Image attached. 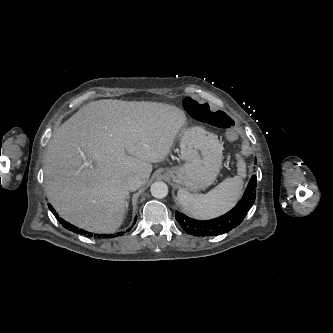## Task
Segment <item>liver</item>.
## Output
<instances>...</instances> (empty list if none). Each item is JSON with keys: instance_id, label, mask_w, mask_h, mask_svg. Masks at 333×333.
Listing matches in <instances>:
<instances>
[{"instance_id": "6515ba94", "label": "liver", "mask_w": 333, "mask_h": 333, "mask_svg": "<svg viewBox=\"0 0 333 333\" xmlns=\"http://www.w3.org/2000/svg\"><path fill=\"white\" fill-rule=\"evenodd\" d=\"M186 122L182 110L164 103L103 99L83 106L47 147L44 175L51 204L79 228L114 232L125 215L126 179L136 176L146 184L152 163L167 158Z\"/></svg>"}]
</instances>
